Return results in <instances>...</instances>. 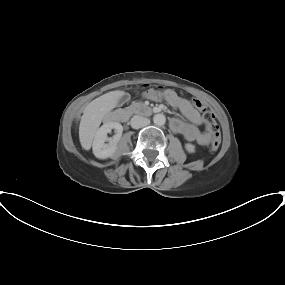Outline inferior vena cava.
<instances>
[{
  "label": "inferior vena cava",
  "mask_w": 285,
  "mask_h": 285,
  "mask_svg": "<svg viewBox=\"0 0 285 285\" xmlns=\"http://www.w3.org/2000/svg\"><path fill=\"white\" fill-rule=\"evenodd\" d=\"M149 124H150V120L142 116L135 115L131 119V127L134 129H139Z\"/></svg>",
  "instance_id": "inferior-vena-cava-1"
}]
</instances>
